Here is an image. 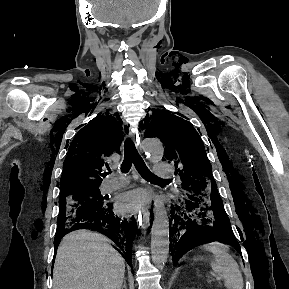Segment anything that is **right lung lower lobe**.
<instances>
[{
    "mask_svg": "<svg viewBox=\"0 0 289 289\" xmlns=\"http://www.w3.org/2000/svg\"><path fill=\"white\" fill-rule=\"evenodd\" d=\"M112 207L111 203L105 204L93 213L78 215L67 224L65 223V226L58 227L54 239L55 249H57L61 238L67 233L77 229H91L109 237L117 245L116 249L132 267V241L135 233L138 232L134 224L118 218Z\"/></svg>",
    "mask_w": 289,
    "mask_h": 289,
    "instance_id": "obj_1",
    "label": "right lung lower lobe"
}]
</instances>
